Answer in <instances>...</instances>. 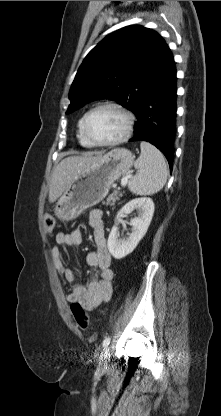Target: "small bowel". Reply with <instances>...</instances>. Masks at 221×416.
I'll list each match as a JSON object with an SVG mask.
<instances>
[{"label": "small bowel", "instance_id": "1", "mask_svg": "<svg viewBox=\"0 0 221 416\" xmlns=\"http://www.w3.org/2000/svg\"><path fill=\"white\" fill-rule=\"evenodd\" d=\"M89 225L93 231L96 249L86 255V263L94 271L87 285L81 284L77 273L64 265L60 248L54 246L51 249L53 265L58 276L61 281L72 285L70 293L66 295L67 301L70 303L78 302L87 311H91L100 304L111 300L114 279V272L111 267L112 258L107 249L105 225L100 210L90 212ZM83 241V233L79 229L69 233L60 232L56 235L58 245L81 246Z\"/></svg>", "mask_w": 221, "mask_h": 416}]
</instances>
